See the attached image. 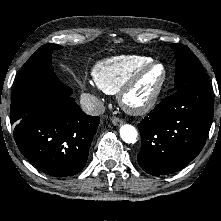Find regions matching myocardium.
<instances>
[{"label": "myocardium", "instance_id": "1", "mask_svg": "<svg viewBox=\"0 0 221 221\" xmlns=\"http://www.w3.org/2000/svg\"><path fill=\"white\" fill-rule=\"evenodd\" d=\"M159 66L162 69V75L155 86L152 93L149 97L141 103L132 104L128 101V95L132 92V90L138 85L143 76L153 67ZM167 81V69L166 66L158 61L152 60L149 63L140 67L137 71H135L129 79L121 86L119 91L117 92V99L119 105L125 110L127 113L132 115H143L151 111L155 105L157 104L164 86Z\"/></svg>", "mask_w": 221, "mask_h": 221}]
</instances>
